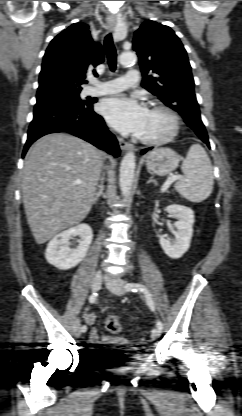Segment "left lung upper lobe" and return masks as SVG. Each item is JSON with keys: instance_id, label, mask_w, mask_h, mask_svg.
<instances>
[{"instance_id": "obj_1", "label": "left lung upper lobe", "mask_w": 242, "mask_h": 416, "mask_svg": "<svg viewBox=\"0 0 242 416\" xmlns=\"http://www.w3.org/2000/svg\"><path fill=\"white\" fill-rule=\"evenodd\" d=\"M133 49L139 57L142 86L179 112L198 137L207 136L187 53L174 31L155 21H146L134 34Z\"/></svg>"}]
</instances>
